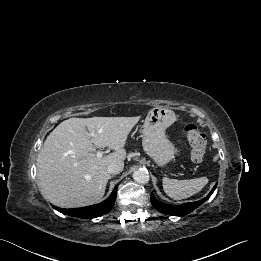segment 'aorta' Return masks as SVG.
I'll list each match as a JSON object with an SVG mask.
<instances>
[{"instance_id": "obj_1", "label": "aorta", "mask_w": 261, "mask_h": 261, "mask_svg": "<svg viewBox=\"0 0 261 261\" xmlns=\"http://www.w3.org/2000/svg\"><path fill=\"white\" fill-rule=\"evenodd\" d=\"M133 179L140 184H147L150 176L146 169H138L133 173Z\"/></svg>"}]
</instances>
